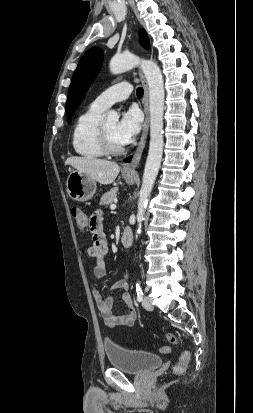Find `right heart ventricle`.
<instances>
[{
	"mask_svg": "<svg viewBox=\"0 0 253 413\" xmlns=\"http://www.w3.org/2000/svg\"><path fill=\"white\" fill-rule=\"evenodd\" d=\"M103 112L91 105L77 118L72 132V147L79 156L96 159L104 155L97 134Z\"/></svg>",
	"mask_w": 253,
	"mask_h": 413,
	"instance_id": "1",
	"label": "right heart ventricle"
}]
</instances>
